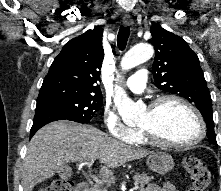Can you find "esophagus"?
<instances>
[{
	"mask_svg": "<svg viewBox=\"0 0 221 191\" xmlns=\"http://www.w3.org/2000/svg\"><path fill=\"white\" fill-rule=\"evenodd\" d=\"M123 24H124L125 26H130V25L133 24V19H132L129 15H125V16L123 17Z\"/></svg>",
	"mask_w": 221,
	"mask_h": 191,
	"instance_id": "34e87169",
	"label": "esophagus"
}]
</instances>
